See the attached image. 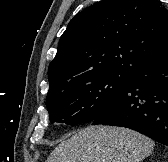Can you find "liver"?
I'll list each match as a JSON object with an SVG mask.
<instances>
[{"mask_svg":"<svg viewBox=\"0 0 168 162\" xmlns=\"http://www.w3.org/2000/svg\"><path fill=\"white\" fill-rule=\"evenodd\" d=\"M154 141L131 129L89 126L61 142L45 162H140Z\"/></svg>","mask_w":168,"mask_h":162,"instance_id":"liver-1","label":"liver"}]
</instances>
